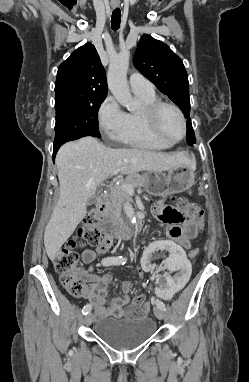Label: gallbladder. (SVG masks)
<instances>
[{
    "instance_id": "1",
    "label": "gallbladder",
    "mask_w": 249,
    "mask_h": 382,
    "mask_svg": "<svg viewBox=\"0 0 249 382\" xmlns=\"http://www.w3.org/2000/svg\"><path fill=\"white\" fill-rule=\"evenodd\" d=\"M97 198L96 197H91L89 200H88V205H93L95 202H96Z\"/></svg>"
}]
</instances>
